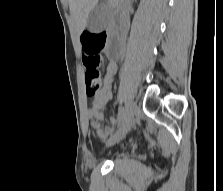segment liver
<instances>
[{"mask_svg":"<svg viewBox=\"0 0 223 191\" xmlns=\"http://www.w3.org/2000/svg\"><path fill=\"white\" fill-rule=\"evenodd\" d=\"M99 0H68L70 12L76 23V27L81 33L86 26L87 18L91 10L97 5ZM111 8H119V0H108Z\"/></svg>","mask_w":223,"mask_h":191,"instance_id":"obj_1","label":"liver"}]
</instances>
